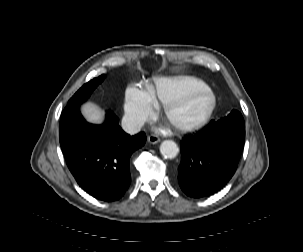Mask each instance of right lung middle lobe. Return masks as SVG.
I'll list each match as a JSON object with an SVG mask.
<instances>
[{
  "label": "right lung middle lobe",
  "mask_w": 303,
  "mask_h": 252,
  "mask_svg": "<svg viewBox=\"0 0 303 252\" xmlns=\"http://www.w3.org/2000/svg\"><path fill=\"white\" fill-rule=\"evenodd\" d=\"M105 75H101L98 78H95L88 83L84 84L68 101L67 105L81 103L85 101L92 91L104 80Z\"/></svg>",
  "instance_id": "dd1d6c3e"
}]
</instances>
